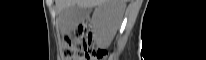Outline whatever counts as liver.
<instances>
[{"instance_id": "6515ba94", "label": "liver", "mask_w": 206, "mask_h": 60, "mask_svg": "<svg viewBox=\"0 0 206 60\" xmlns=\"http://www.w3.org/2000/svg\"><path fill=\"white\" fill-rule=\"evenodd\" d=\"M57 12H60L71 6L78 5L83 8H92L104 4H112L115 6V20L112 23L111 39L114 37L120 23L125 9L126 0H56Z\"/></svg>"}]
</instances>
